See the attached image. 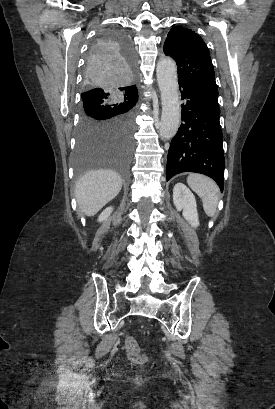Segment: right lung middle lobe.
<instances>
[{"label":"right lung middle lobe","mask_w":275,"mask_h":409,"mask_svg":"<svg viewBox=\"0 0 275 409\" xmlns=\"http://www.w3.org/2000/svg\"><path fill=\"white\" fill-rule=\"evenodd\" d=\"M134 56L131 38L121 32L120 24H107L91 43L73 154L75 182H80L92 167L95 171L110 167L112 173H121L123 181H128L138 98L114 91L132 84Z\"/></svg>","instance_id":"1"}]
</instances>
